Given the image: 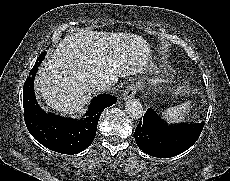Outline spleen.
<instances>
[{
  "label": "spleen",
  "mask_w": 230,
  "mask_h": 181,
  "mask_svg": "<svg viewBox=\"0 0 230 181\" xmlns=\"http://www.w3.org/2000/svg\"><path fill=\"white\" fill-rule=\"evenodd\" d=\"M191 102L187 101L180 105L170 107L164 110L163 116L170 122H178L184 118L187 110L190 108Z\"/></svg>",
  "instance_id": "obj_1"
}]
</instances>
